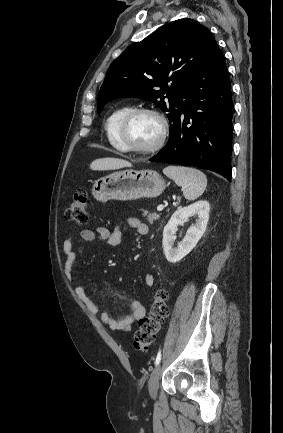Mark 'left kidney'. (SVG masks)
Wrapping results in <instances>:
<instances>
[{
	"instance_id": "5707ae66",
	"label": "left kidney",
	"mask_w": 283,
	"mask_h": 433,
	"mask_svg": "<svg viewBox=\"0 0 283 433\" xmlns=\"http://www.w3.org/2000/svg\"><path fill=\"white\" fill-rule=\"evenodd\" d=\"M210 205L205 200L197 201L189 206L179 208L171 216L163 230V250L166 259L176 263L189 254L203 236L209 220ZM196 215L195 224L190 226L183 240L174 246L175 233L179 224Z\"/></svg>"
}]
</instances>
